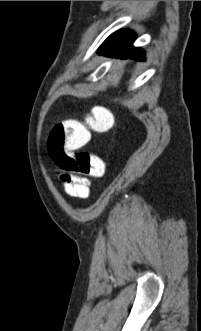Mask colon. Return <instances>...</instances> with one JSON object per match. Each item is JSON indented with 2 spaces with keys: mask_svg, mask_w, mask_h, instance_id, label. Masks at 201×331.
Returning <instances> with one entry per match:
<instances>
[{
  "mask_svg": "<svg viewBox=\"0 0 201 331\" xmlns=\"http://www.w3.org/2000/svg\"><path fill=\"white\" fill-rule=\"evenodd\" d=\"M114 122V115L109 109L94 107L83 121L66 119L56 123L47 142L50 157L64 172L103 177L106 167L100 157L87 151L73 153L72 150L86 145L91 132L109 131Z\"/></svg>",
  "mask_w": 201,
  "mask_h": 331,
  "instance_id": "colon-1",
  "label": "colon"
}]
</instances>
